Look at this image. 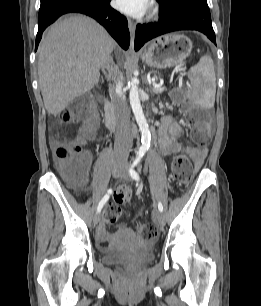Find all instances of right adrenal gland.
Masks as SVG:
<instances>
[{"instance_id": "right-adrenal-gland-1", "label": "right adrenal gland", "mask_w": 261, "mask_h": 306, "mask_svg": "<svg viewBox=\"0 0 261 306\" xmlns=\"http://www.w3.org/2000/svg\"><path fill=\"white\" fill-rule=\"evenodd\" d=\"M115 69L116 65L111 56L109 57L108 61L101 67V71L107 79L114 73Z\"/></svg>"}]
</instances>
